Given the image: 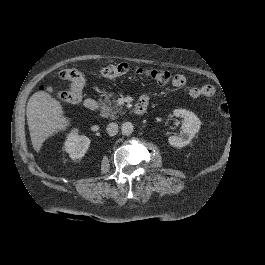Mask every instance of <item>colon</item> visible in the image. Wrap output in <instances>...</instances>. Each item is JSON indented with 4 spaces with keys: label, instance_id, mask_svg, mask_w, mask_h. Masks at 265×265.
Segmentation results:
<instances>
[{
    "label": "colon",
    "instance_id": "5ec220e1",
    "mask_svg": "<svg viewBox=\"0 0 265 265\" xmlns=\"http://www.w3.org/2000/svg\"><path fill=\"white\" fill-rule=\"evenodd\" d=\"M97 73L105 78H114L128 73H133L139 77L153 80L159 84H167L171 80V74L166 70L143 68L132 69L126 63L103 67L98 70ZM59 77L63 80L69 81L71 83L70 88L64 90H54L53 88H49L48 91L52 92L59 99L66 102L76 103L80 101L83 88L85 86V79L83 75L76 69L66 68L59 72ZM227 110V105H222L220 107V112L223 114H225Z\"/></svg>",
    "mask_w": 265,
    "mask_h": 265
}]
</instances>
